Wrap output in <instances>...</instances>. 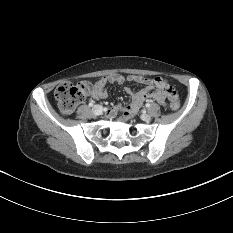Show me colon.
Instances as JSON below:
<instances>
[{"label": "colon", "mask_w": 233, "mask_h": 233, "mask_svg": "<svg viewBox=\"0 0 233 233\" xmlns=\"http://www.w3.org/2000/svg\"><path fill=\"white\" fill-rule=\"evenodd\" d=\"M93 86L88 81L79 83L66 82L59 85L55 90V98L58 103L59 110L64 115H69L75 107L84 99L92 94ZM180 106V98L174 93L171 96L170 108L175 111Z\"/></svg>", "instance_id": "colon-1"}]
</instances>
